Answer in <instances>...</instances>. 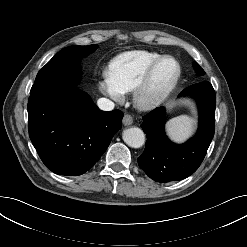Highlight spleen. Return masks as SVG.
I'll return each mask as SVG.
<instances>
[{
	"instance_id": "3e777b00",
	"label": "spleen",
	"mask_w": 247,
	"mask_h": 247,
	"mask_svg": "<svg viewBox=\"0 0 247 247\" xmlns=\"http://www.w3.org/2000/svg\"><path fill=\"white\" fill-rule=\"evenodd\" d=\"M167 134L175 142H183L189 138L195 130V120L187 115H181L171 119L167 125Z\"/></svg>"
}]
</instances>
